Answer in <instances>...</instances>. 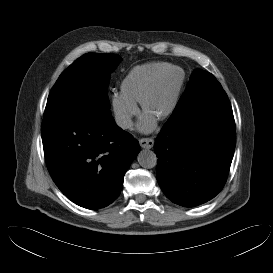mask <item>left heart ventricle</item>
<instances>
[{"mask_svg":"<svg viewBox=\"0 0 273 273\" xmlns=\"http://www.w3.org/2000/svg\"><path fill=\"white\" fill-rule=\"evenodd\" d=\"M178 81L179 74L177 72H169L161 78L147 101V114L156 118L164 113L167 108H169L173 100Z\"/></svg>","mask_w":273,"mask_h":273,"instance_id":"left-heart-ventricle-1","label":"left heart ventricle"}]
</instances>
